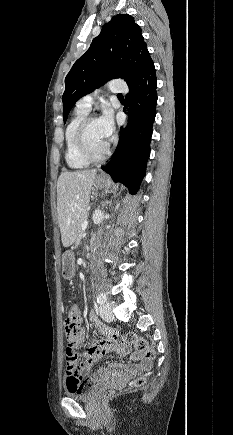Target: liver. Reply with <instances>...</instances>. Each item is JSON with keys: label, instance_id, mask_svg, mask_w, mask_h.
<instances>
[{"label": "liver", "instance_id": "6515ba94", "mask_svg": "<svg viewBox=\"0 0 233 435\" xmlns=\"http://www.w3.org/2000/svg\"><path fill=\"white\" fill-rule=\"evenodd\" d=\"M97 171L63 172L57 181V213L64 247L72 245L86 215Z\"/></svg>", "mask_w": 233, "mask_h": 435}]
</instances>
